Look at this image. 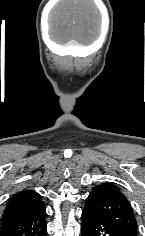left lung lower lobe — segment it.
<instances>
[{
  "instance_id": "obj_1",
  "label": "left lung lower lobe",
  "mask_w": 145,
  "mask_h": 236,
  "mask_svg": "<svg viewBox=\"0 0 145 236\" xmlns=\"http://www.w3.org/2000/svg\"><path fill=\"white\" fill-rule=\"evenodd\" d=\"M82 219V236H126L112 223L89 210L84 209L82 212Z\"/></svg>"
}]
</instances>
